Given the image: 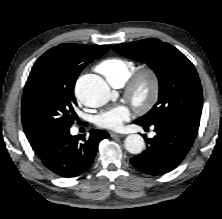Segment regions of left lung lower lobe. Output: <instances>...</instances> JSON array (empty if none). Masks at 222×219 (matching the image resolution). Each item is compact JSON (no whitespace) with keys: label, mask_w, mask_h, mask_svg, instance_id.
I'll use <instances>...</instances> for the list:
<instances>
[{"label":"left lung lower lobe","mask_w":222,"mask_h":219,"mask_svg":"<svg viewBox=\"0 0 222 219\" xmlns=\"http://www.w3.org/2000/svg\"><path fill=\"white\" fill-rule=\"evenodd\" d=\"M134 123L144 126L145 129L153 125L157 133L153 138L146 140L147 149L144 152L130 159L136 169L150 175L169 172L180 164L198 133V127L173 118L153 124L140 121Z\"/></svg>","instance_id":"obj_1"}]
</instances>
